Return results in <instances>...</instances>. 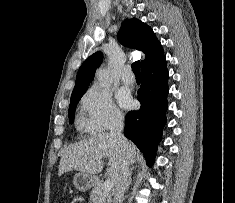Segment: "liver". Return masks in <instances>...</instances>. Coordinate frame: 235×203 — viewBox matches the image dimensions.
<instances>
[{
    "label": "liver",
    "instance_id": "obj_1",
    "mask_svg": "<svg viewBox=\"0 0 235 203\" xmlns=\"http://www.w3.org/2000/svg\"><path fill=\"white\" fill-rule=\"evenodd\" d=\"M128 153L129 164H134L138 150L129 142ZM97 158L101 159L97 160ZM103 158H108L107 174L115 184L121 174L126 153L121 148L119 141L107 132L94 134L68 146L62 152L58 175L76 170L95 177L103 169Z\"/></svg>",
    "mask_w": 235,
    "mask_h": 203
}]
</instances>
